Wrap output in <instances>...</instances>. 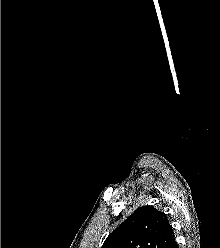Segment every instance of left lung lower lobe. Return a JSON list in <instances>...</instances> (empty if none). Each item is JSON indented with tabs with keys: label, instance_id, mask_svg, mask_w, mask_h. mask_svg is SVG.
<instances>
[{
	"label": "left lung lower lobe",
	"instance_id": "left-lung-lower-lobe-1",
	"mask_svg": "<svg viewBox=\"0 0 220 248\" xmlns=\"http://www.w3.org/2000/svg\"><path fill=\"white\" fill-rule=\"evenodd\" d=\"M167 248H178L177 243L175 241V238H174V240L170 243V245Z\"/></svg>",
	"mask_w": 220,
	"mask_h": 248
}]
</instances>
